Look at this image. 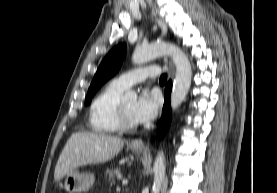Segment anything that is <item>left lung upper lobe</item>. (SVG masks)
Instances as JSON below:
<instances>
[{
    "label": "left lung upper lobe",
    "instance_id": "left-lung-upper-lobe-1",
    "mask_svg": "<svg viewBox=\"0 0 277 193\" xmlns=\"http://www.w3.org/2000/svg\"><path fill=\"white\" fill-rule=\"evenodd\" d=\"M126 49L125 44H119L103 59L88 90L86 104L91 101L98 89L118 72L126 55Z\"/></svg>",
    "mask_w": 277,
    "mask_h": 193
}]
</instances>
